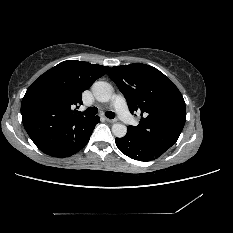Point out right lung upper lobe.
Here are the masks:
<instances>
[{
    "instance_id": "obj_1",
    "label": "right lung upper lobe",
    "mask_w": 233,
    "mask_h": 233,
    "mask_svg": "<svg viewBox=\"0 0 233 233\" xmlns=\"http://www.w3.org/2000/svg\"><path fill=\"white\" fill-rule=\"evenodd\" d=\"M108 66L68 60L42 74L27 89L21 103L25 130L44 153L74 140L91 117L77 115L82 92L103 76Z\"/></svg>"
}]
</instances>
